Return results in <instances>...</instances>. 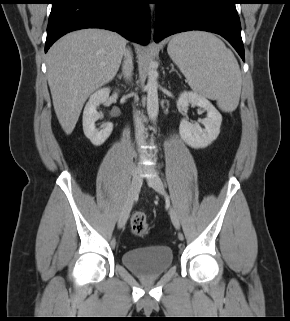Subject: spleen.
<instances>
[{
	"instance_id": "spleen-1",
	"label": "spleen",
	"mask_w": 290,
	"mask_h": 321,
	"mask_svg": "<svg viewBox=\"0 0 290 321\" xmlns=\"http://www.w3.org/2000/svg\"><path fill=\"white\" fill-rule=\"evenodd\" d=\"M168 54L191 89L217 100L225 112L235 110L241 93V72L233 53L215 35L193 31L176 35Z\"/></svg>"
}]
</instances>
